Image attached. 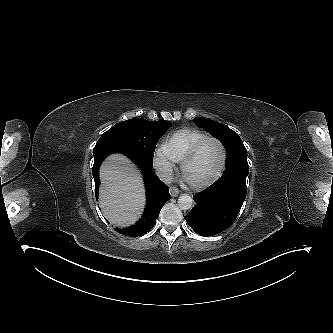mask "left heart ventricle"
Listing matches in <instances>:
<instances>
[{"label":"left heart ventricle","instance_id":"b2bd125f","mask_svg":"<svg viewBox=\"0 0 333 333\" xmlns=\"http://www.w3.org/2000/svg\"><path fill=\"white\" fill-rule=\"evenodd\" d=\"M221 162V149L215 141H207L197 155L187 164L186 178L191 182H202L211 178Z\"/></svg>","mask_w":333,"mask_h":333}]
</instances>
